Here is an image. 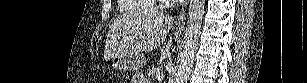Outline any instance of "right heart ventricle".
Returning <instances> with one entry per match:
<instances>
[{"label":"right heart ventricle","mask_w":307,"mask_h":83,"mask_svg":"<svg viewBox=\"0 0 307 83\" xmlns=\"http://www.w3.org/2000/svg\"><path fill=\"white\" fill-rule=\"evenodd\" d=\"M154 8L151 0H120V10L126 13H143Z\"/></svg>","instance_id":"1"}]
</instances>
